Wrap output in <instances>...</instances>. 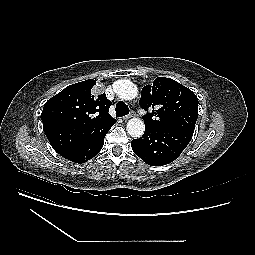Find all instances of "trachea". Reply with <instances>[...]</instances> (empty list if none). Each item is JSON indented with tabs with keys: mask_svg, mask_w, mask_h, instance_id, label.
I'll return each instance as SVG.
<instances>
[{
	"mask_svg": "<svg viewBox=\"0 0 255 255\" xmlns=\"http://www.w3.org/2000/svg\"><path fill=\"white\" fill-rule=\"evenodd\" d=\"M115 111H116V116L117 117H122V116H125V115L129 114L128 106L122 101H120L116 104Z\"/></svg>",
	"mask_w": 255,
	"mask_h": 255,
	"instance_id": "3493384b",
	"label": "trachea"
}]
</instances>
